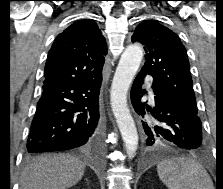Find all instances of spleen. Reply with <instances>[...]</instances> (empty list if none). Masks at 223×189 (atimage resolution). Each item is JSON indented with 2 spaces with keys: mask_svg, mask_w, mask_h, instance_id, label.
<instances>
[{
  "mask_svg": "<svg viewBox=\"0 0 223 189\" xmlns=\"http://www.w3.org/2000/svg\"><path fill=\"white\" fill-rule=\"evenodd\" d=\"M160 180L168 189H213L206 170L190 158H173L157 165Z\"/></svg>",
  "mask_w": 223,
  "mask_h": 189,
  "instance_id": "3e777b00",
  "label": "spleen"
}]
</instances>
